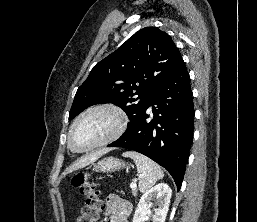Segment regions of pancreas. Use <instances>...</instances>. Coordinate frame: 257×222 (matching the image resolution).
<instances>
[{
	"label": "pancreas",
	"instance_id": "cf45deb5",
	"mask_svg": "<svg viewBox=\"0 0 257 222\" xmlns=\"http://www.w3.org/2000/svg\"><path fill=\"white\" fill-rule=\"evenodd\" d=\"M132 194H133L134 196L137 195V189H136V188H133V189H132Z\"/></svg>",
	"mask_w": 257,
	"mask_h": 222
}]
</instances>
